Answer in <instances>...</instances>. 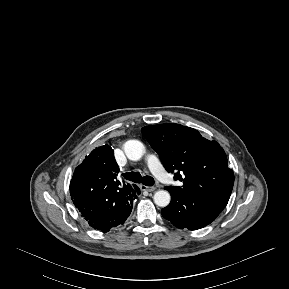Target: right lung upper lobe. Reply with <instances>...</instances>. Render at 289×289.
Returning <instances> with one entry per match:
<instances>
[{
	"mask_svg": "<svg viewBox=\"0 0 289 289\" xmlns=\"http://www.w3.org/2000/svg\"><path fill=\"white\" fill-rule=\"evenodd\" d=\"M118 172L114 150L108 145L94 149L75 169L74 176L84 180L82 190L90 202V208L114 203L116 198L132 188L130 184L120 183L116 179Z\"/></svg>",
	"mask_w": 289,
	"mask_h": 289,
	"instance_id": "obj_1",
	"label": "right lung upper lobe"
}]
</instances>
